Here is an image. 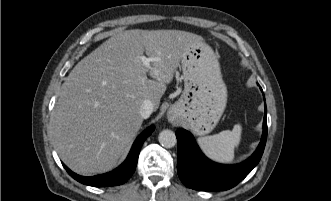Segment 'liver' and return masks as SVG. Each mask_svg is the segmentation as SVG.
Here are the masks:
<instances>
[{
    "instance_id": "6515ba94",
    "label": "liver",
    "mask_w": 331,
    "mask_h": 201,
    "mask_svg": "<svg viewBox=\"0 0 331 201\" xmlns=\"http://www.w3.org/2000/svg\"><path fill=\"white\" fill-rule=\"evenodd\" d=\"M196 41L201 36L181 30H126L78 62L61 86L53 115L54 144L63 162L80 175L111 170L142 125L143 101L158 109ZM144 52L158 60L145 67Z\"/></svg>"
}]
</instances>
